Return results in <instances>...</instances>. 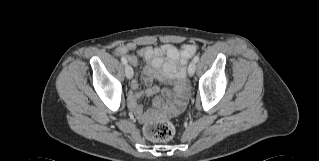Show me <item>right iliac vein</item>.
Listing matches in <instances>:
<instances>
[{"instance_id":"obj_1","label":"right iliac vein","mask_w":319,"mask_h":161,"mask_svg":"<svg viewBox=\"0 0 319 161\" xmlns=\"http://www.w3.org/2000/svg\"><path fill=\"white\" fill-rule=\"evenodd\" d=\"M125 75L128 79H131L133 76V68L130 65L125 66Z\"/></svg>"}]
</instances>
